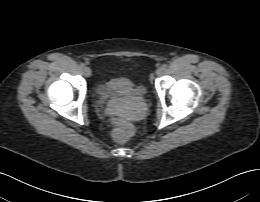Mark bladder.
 Wrapping results in <instances>:
<instances>
[{
    "label": "bladder",
    "mask_w": 260,
    "mask_h": 202,
    "mask_svg": "<svg viewBox=\"0 0 260 202\" xmlns=\"http://www.w3.org/2000/svg\"><path fill=\"white\" fill-rule=\"evenodd\" d=\"M97 91L100 94L113 93L119 95L137 96L140 98L145 97L147 93L144 83L127 77L116 78L108 83L99 82L97 84Z\"/></svg>",
    "instance_id": "31cf9c89"
}]
</instances>
